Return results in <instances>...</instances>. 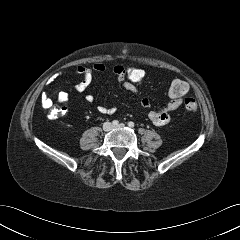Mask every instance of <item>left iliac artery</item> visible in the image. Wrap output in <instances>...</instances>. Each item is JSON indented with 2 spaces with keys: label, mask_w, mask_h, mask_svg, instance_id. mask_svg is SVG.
<instances>
[{
  "label": "left iliac artery",
  "mask_w": 240,
  "mask_h": 240,
  "mask_svg": "<svg viewBox=\"0 0 240 240\" xmlns=\"http://www.w3.org/2000/svg\"><path fill=\"white\" fill-rule=\"evenodd\" d=\"M128 126L131 128L134 127V122H132V121L128 122Z\"/></svg>",
  "instance_id": "obj_1"
}]
</instances>
